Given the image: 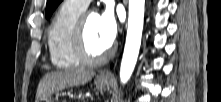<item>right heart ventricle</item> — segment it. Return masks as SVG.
Returning a JSON list of instances; mask_svg holds the SVG:
<instances>
[{"label": "right heart ventricle", "mask_w": 221, "mask_h": 102, "mask_svg": "<svg viewBox=\"0 0 221 102\" xmlns=\"http://www.w3.org/2000/svg\"><path fill=\"white\" fill-rule=\"evenodd\" d=\"M85 8L66 0L53 17L47 31L51 62L57 68L70 69L80 66L73 48V33L76 23Z\"/></svg>", "instance_id": "1"}]
</instances>
